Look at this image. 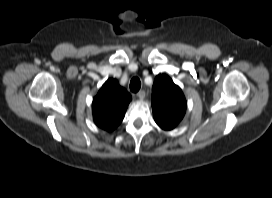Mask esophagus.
I'll return each instance as SVG.
<instances>
[{
  "instance_id": "34e87169",
  "label": "esophagus",
  "mask_w": 272,
  "mask_h": 198,
  "mask_svg": "<svg viewBox=\"0 0 272 198\" xmlns=\"http://www.w3.org/2000/svg\"><path fill=\"white\" fill-rule=\"evenodd\" d=\"M137 97L140 99V100H143L145 98V91L141 90L137 93Z\"/></svg>"
}]
</instances>
